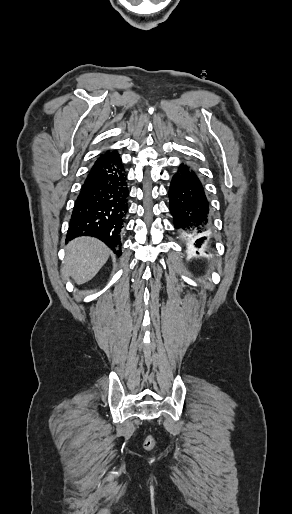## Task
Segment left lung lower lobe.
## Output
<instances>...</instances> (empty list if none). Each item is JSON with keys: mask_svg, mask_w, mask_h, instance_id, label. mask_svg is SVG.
Returning <instances> with one entry per match:
<instances>
[{"mask_svg": "<svg viewBox=\"0 0 292 514\" xmlns=\"http://www.w3.org/2000/svg\"><path fill=\"white\" fill-rule=\"evenodd\" d=\"M173 223L182 240L196 248L211 243L212 216L209 201L196 171L182 163L173 175L168 191Z\"/></svg>", "mask_w": 292, "mask_h": 514, "instance_id": "0a47b994", "label": "left lung lower lobe"}]
</instances>
